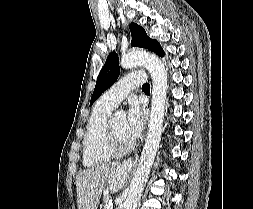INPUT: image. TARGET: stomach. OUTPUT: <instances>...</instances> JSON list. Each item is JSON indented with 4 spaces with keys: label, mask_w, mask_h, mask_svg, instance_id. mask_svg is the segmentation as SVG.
Instances as JSON below:
<instances>
[{
    "label": "stomach",
    "mask_w": 253,
    "mask_h": 209,
    "mask_svg": "<svg viewBox=\"0 0 253 209\" xmlns=\"http://www.w3.org/2000/svg\"><path fill=\"white\" fill-rule=\"evenodd\" d=\"M101 190H110L111 181H101Z\"/></svg>",
    "instance_id": "stomach-1"
}]
</instances>
